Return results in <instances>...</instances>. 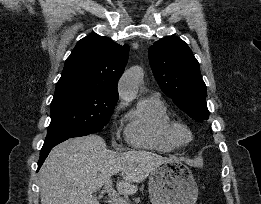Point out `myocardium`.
Here are the masks:
<instances>
[{
	"mask_svg": "<svg viewBox=\"0 0 261 204\" xmlns=\"http://www.w3.org/2000/svg\"><path fill=\"white\" fill-rule=\"evenodd\" d=\"M170 133L178 145H186L193 139L191 129L182 121H171Z\"/></svg>",
	"mask_w": 261,
	"mask_h": 204,
	"instance_id": "f54148a6",
	"label": "myocardium"
}]
</instances>
